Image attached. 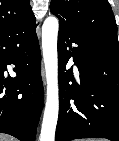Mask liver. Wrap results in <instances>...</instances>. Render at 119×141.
I'll use <instances>...</instances> for the list:
<instances>
[{
    "instance_id": "liver-1",
    "label": "liver",
    "mask_w": 119,
    "mask_h": 141,
    "mask_svg": "<svg viewBox=\"0 0 119 141\" xmlns=\"http://www.w3.org/2000/svg\"><path fill=\"white\" fill-rule=\"evenodd\" d=\"M0 141H14V140L8 135L0 134Z\"/></svg>"
}]
</instances>
